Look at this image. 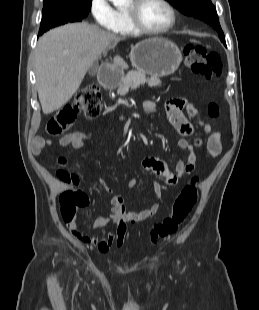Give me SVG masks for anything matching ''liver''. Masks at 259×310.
Instances as JSON below:
<instances>
[{
	"label": "liver",
	"instance_id": "6515ba94",
	"mask_svg": "<svg viewBox=\"0 0 259 310\" xmlns=\"http://www.w3.org/2000/svg\"><path fill=\"white\" fill-rule=\"evenodd\" d=\"M121 40L84 22L67 24L44 34L34 53L36 85L43 113L50 114L65 105L97 57ZM113 61L127 68L120 56H115Z\"/></svg>",
	"mask_w": 259,
	"mask_h": 310
}]
</instances>
